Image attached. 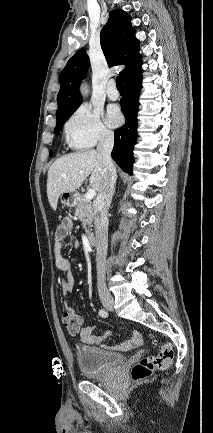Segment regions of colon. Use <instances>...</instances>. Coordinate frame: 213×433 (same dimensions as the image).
Here are the masks:
<instances>
[{"mask_svg": "<svg viewBox=\"0 0 213 433\" xmlns=\"http://www.w3.org/2000/svg\"><path fill=\"white\" fill-rule=\"evenodd\" d=\"M62 322L70 333L75 334L81 329L83 321L77 311L68 309L62 315ZM173 358L174 350L170 344L159 345L156 355L144 357L133 366L131 370L133 381H142L150 377L155 371L168 368L172 364Z\"/></svg>", "mask_w": 213, "mask_h": 433, "instance_id": "colon-1", "label": "colon"}]
</instances>
